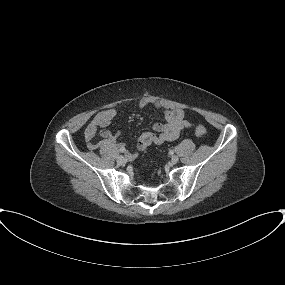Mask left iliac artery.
<instances>
[{"instance_id":"44dca946","label":"left iliac artery","mask_w":285,"mask_h":285,"mask_svg":"<svg viewBox=\"0 0 285 285\" xmlns=\"http://www.w3.org/2000/svg\"><path fill=\"white\" fill-rule=\"evenodd\" d=\"M169 153L172 155V154H174V151H173V150H171Z\"/></svg>"}]
</instances>
